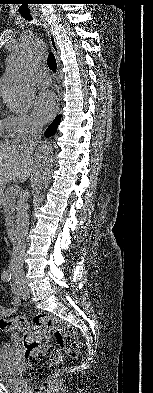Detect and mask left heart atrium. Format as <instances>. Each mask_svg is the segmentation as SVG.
Instances as JSON below:
<instances>
[{
    "instance_id": "obj_1",
    "label": "left heart atrium",
    "mask_w": 153,
    "mask_h": 393,
    "mask_svg": "<svg viewBox=\"0 0 153 393\" xmlns=\"http://www.w3.org/2000/svg\"><path fill=\"white\" fill-rule=\"evenodd\" d=\"M58 109V98L50 90L41 91L34 102V113L39 121L47 122Z\"/></svg>"
}]
</instances>
